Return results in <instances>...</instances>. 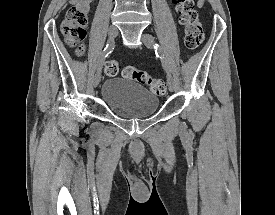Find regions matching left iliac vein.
<instances>
[{
	"instance_id": "obj_1",
	"label": "left iliac vein",
	"mask_w": 275,
	"mask_h": 215,
	"mask_svg": "<svg viewBox=\"0 0 275 215\" xmlns=\"http://www.w3.org/2000/svg\"><path fill=\"white\" fill-rule=\"evenodd\" d=\"M142 41L148 48H153L154 46V37L149 34V33H143L142 35ZM167 82H168V87L170 91H173L175 89V83L170 74L167 76Z\"/></svg>"
}]
</instances>
